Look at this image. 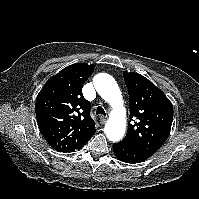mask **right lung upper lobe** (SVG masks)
I'll list each match as a JSON object with an SVG mask.
<instances>
[{"label":"right lung upper lobe","mask_w":199,"mask_h":199,"mask_svg":"<svg viewBox=\"0 0 199 199\" xmlns=\"http://www.w3.org/2000/svg\"><path fill=\"white\" fill-rule=\"evenodd\" d=\"M93 64L76 63L51 77L39 92L35 112L45 140L59 152L84 146L95 133L90 102L82 95L83 83L94 71Z\"/></svg>","instance_id":"obj_1"}]
</instances>
